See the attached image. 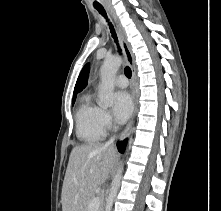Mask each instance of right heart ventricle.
<instances>
[{
  "label": "right heart ventricle",
  "mask_w": 221,
  "mask_h": 211,
  "mask_svg": "<svg viewBox=\"0 0 221 211\" xmlns=\"http://www.w3.org/2000/svg\"><path fill=\"white\" fill-rule=\"evenodd\" d=\"M99 107L92 101L90 94H84L75 114L76 135L85 143H95L103 138L99 127Z\"/></svg>",
  "instance_id": "1"
}]
</instances>
